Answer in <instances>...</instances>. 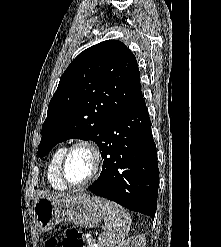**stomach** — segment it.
Returning a JSON list of instances; mask_svg holds the SVG:
<instances>
[{
	"mask_svg": "<svg viewBox=\"0 0 221 247\" xmlns=\"http://www.w3.org/2000/svg\"><path fill=\"white\" fill-rule=\"evenodd\" d=\"M105 202L107 201L86 193L54 199L44 197L36 201L34 214L39 229L44 232L61 222L92 228L101 222Z\"/></svg>",
	"mask_w": 221,
	"mask_h": 247,
	"instance_id": "obj_1",
	"label": "stomach"
}]
</instances>
